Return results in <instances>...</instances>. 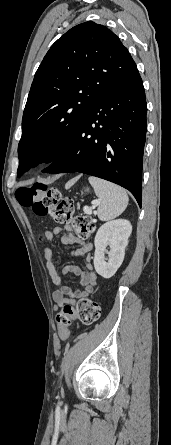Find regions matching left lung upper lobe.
<instances>
[{"label": "left lung upper lobe", "mask_w": 171, "mask_h": 445, "mask_svg": "<svg viewBox=\"0 0 171 445\" xmlns=\"http://www.w3.org/2000/svg\"><path fill=\"white\" fill-rule=\"evenodd\" d=\"M136 64L119 38L88 21L62 35L35 73L22 118L18 145L20 177L30 167L52 162L88 108Z\"/></svg>", "instance_id": "obj_1"}]
</instances>
